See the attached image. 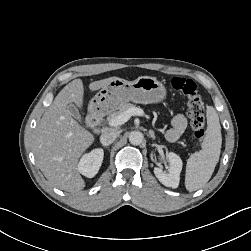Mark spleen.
<instances>
[{"instance_id": "3e777b00", "label": "spleen", "mask_w": 251, "mask_h": 251, "mask_svg": "<svg viewBox=\"0 0 251 251\" xmlns=\"http://www.w3.org/2000/svg\"><path fill=\"white\" fill-rule=\"evenodd\" d=\"M206 116L207 130L202 149L187 160L185 187L188 191H196L210 180L220 157L222 136L218 114L213 107H208Z\"/></svg>"}]
</instances>
